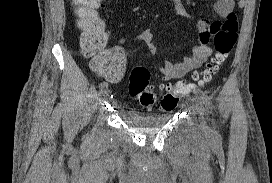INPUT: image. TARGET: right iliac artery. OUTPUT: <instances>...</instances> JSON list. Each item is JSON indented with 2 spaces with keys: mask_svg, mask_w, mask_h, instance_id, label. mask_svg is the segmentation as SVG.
Returning a JSON list of instances; mask_svg holds the SVG:
<instances>
[{
  "mask_svg": "<svg viewBox=\"0 0 272 183\" xmlns=\"http://www.w3.org/2000/svg\"><path fill=\"white\" fill-rule=\"evenodd\" d=\"M108 87V83L107 82H101L100 84H99V88H100V90L102 91V90H104L105 88H107Z\"/></svg>",
  "mask_w": 272,
  "mask_h": 183,
  "instance_id": "82829eb1",
  "label": "right iliac artery"
}]
</instances>
